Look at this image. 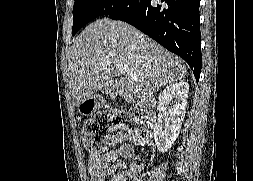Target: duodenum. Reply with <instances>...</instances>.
<instances>
[{
	"mask_svg": "<svg viewBox=\"0 0 253 181\" xmlns=\"http://www.w3.org/2000/svg\"><path fill=\"white\" fill-rule=\"evenodd\" d=\"M139 114L147 122L155 120V101L152 98H146L138 105Z\"/></svg>",
	"mask_w": 253,
	"mask_h": 181,
	"instance_id": "1",
	"label": "duodenum"
}]
</instances>
